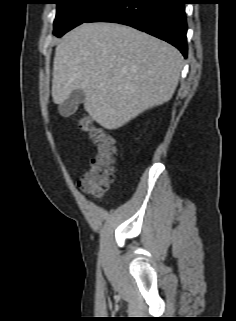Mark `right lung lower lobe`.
I'll return each instance as SVG.
<instances>
[{"instance_id":"1","label":"right lung lower lobe","mask_w":236,"mask_h":321,"mask_svg":"<svg viewBox=\"0 0 236 321\" xmlns=\"http://www.w3.org/2000/svg\"><path fill=\"white\" fill-rule=\"evenodd\" d=\"M185 0H109L84 22L134 27L172 44L187 57Z\"/></svg>"}]
</instances>
